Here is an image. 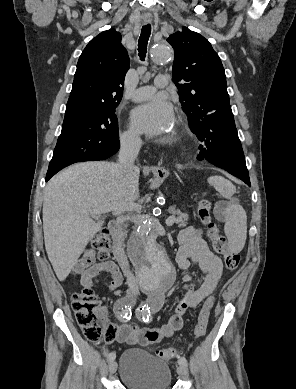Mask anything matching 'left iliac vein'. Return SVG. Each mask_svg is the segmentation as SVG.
Listing matches in <instances>:
<instances>
[{
  "label": "left iliac vein",
  "mask_w": 296,
  "mask_h": 389,
  "mask_svg": "<svg viewBox=\"0 0 296 389\" xmlns=\"http://www.w3.org/2000/svg\"><path fill=\"white\" fill-rule=\"evenodd\" d=\"M177 373H178L180 376L186 377V376L188 375L187 366H185V365H179L178 368H177Z\"/></svg>",
  "instance_id": "1"
}]
</instances>
